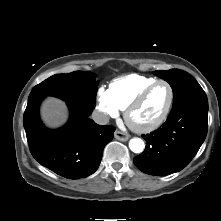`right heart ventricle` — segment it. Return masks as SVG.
<instances>
[{
    "label": "right heart ventricle",
    "mask_w": 221,
    "mask_h": 221,
    "mask_svg": "<svg viewBox=\"0 0 221 221\" xmlns=\"http://www.w3.org/2000/svg\"><path fill=\"white\" fill-rule=\"evenodd\" d=\"M157 79L130 74L113 80L109 85L111 97L120 110H125L132 100Z\"/></svg>",
    "instance_id": "e07e8e85"
}]
</instances>
